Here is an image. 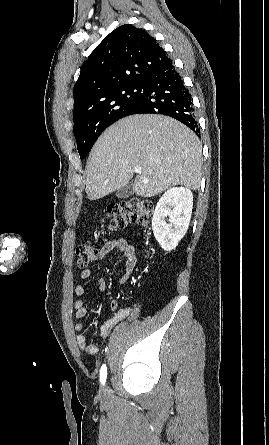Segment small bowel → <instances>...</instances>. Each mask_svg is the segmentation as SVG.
<instances>
[{
    "label": "small bowel",
    "mask_w": 269,
    "mask_h": 445,
    "mask_svg": "<svg viewBox=\"0 0 269 445\" xmlns=\"http://www.w3.org/2000/svg\"><path fill=\"white\" fill-rule=\"evenodd\" d=\"M119 250L124 257L125 273L120 278V283L124 284L137 263V255L134 246L126 239L119 238L106 242L99 252V257L103 258L113 250ZM92 275V270L87 268L81 271L80 277L82 279H89ZM105 288V282L103 279L98 281V291L102 292ZM74 292L77 296H83L85 294V286L81 283H77L74 287ZM110 306L114 311L111 318L105 321L100 327V335L102 338H107L113 326L119 321L125 319L132 312V307L118 308V304L115 300L110 302ZM75 317L77 319L84 318L88 313V305L83 299H78L74 303ZM84 324L78 322L75 325V331L78 333L76 337L77 345L80 349L87 354L93 355L97 352V346L94 343L88 342L85 334L83 333Z\"/></svg>",
    "instance_id": "small-bowel-1"
}]
</instances>
